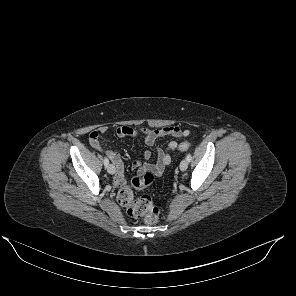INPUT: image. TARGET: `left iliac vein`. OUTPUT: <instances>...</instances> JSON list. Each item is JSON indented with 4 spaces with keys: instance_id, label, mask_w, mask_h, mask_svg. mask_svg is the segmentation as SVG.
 <instances>
[{
    "instance_id": "1",
    "label": "left iliac vein",
    "mask_w": 296,
    "mask_h": 296,
    "mask_svg": "<svg viewBox=\"0 0 296 296\" xmlns=\"http://www.w3.org/2000/svg\"><path fill=\"white\" fill-rule=\"evenodd\" d=\"M188 168V161L187 159H183L180 163V170L185 171Z\"/></svg>"
}]
</instances>
